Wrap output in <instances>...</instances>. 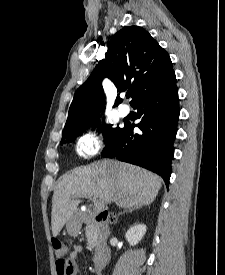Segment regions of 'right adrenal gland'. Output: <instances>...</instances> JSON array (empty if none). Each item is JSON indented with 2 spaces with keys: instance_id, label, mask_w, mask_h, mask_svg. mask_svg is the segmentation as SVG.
<instances>
[{
  "instance_id": "2a0ac1e0",
  "label": "right adrenal gland",
  "mask_w": 225,
  "mask_h": 275,
  "mask_svg": "<svg viewBox=\"0 0 225 275\" xmlns=\"http://www.w3.org/2000/svg\"><path fill=\"white\" fill-rule=\"evenodd\" d=\"M134 209V207H129V208H126L124 211H123V213L124 212H132V210ZM120 214H122V213H120Z\"/></svg>"
}]
</instances>
